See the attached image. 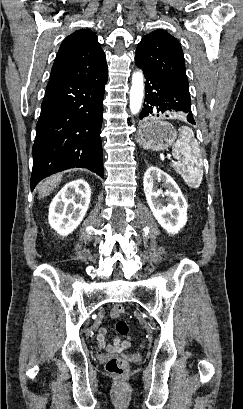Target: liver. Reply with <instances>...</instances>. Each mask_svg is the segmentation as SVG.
I'll use <instances>...</instances> for the list:
<instances>
[{
    "label": "liver",
    "mask_w": 243,
    "mask_h": 409,
    "mask_svg": "<svg viewBox=\"0 0 243 409\" xmlns=\"http://www.w3.org/2000/svg\"><path fill=\"white\" fill-rule=\"evenodd\" d=\"M61 179L62 174L58 173L41 182L38 185L39 198H44L45 196L49 195L56 188V186H58V184L61 182Z\"/></svg>",
    "instance_id": "liver-1"
}]
</instances>
